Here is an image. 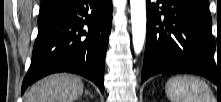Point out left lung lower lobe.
Returning <instances> with one entry per match:
<instances>
[{"label":"left lung lower lobe","instance_id":"0a47b994","mask_svg":"<svg viewBox=\"0 0 221 102\" xmlns=\"http://www.w3.org/2000/svg\"><path fill=\"white\" fill-rule=\"evenodd\" d=\"M212 19L202 0H147V38L141 82L164 72L199 74L220 85Z\"/></svg>","mask_w":221,"mask_h":102}]
</instances>
